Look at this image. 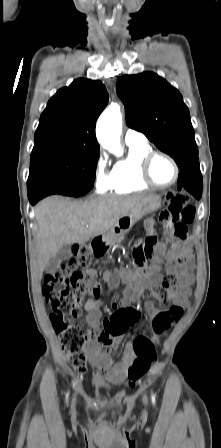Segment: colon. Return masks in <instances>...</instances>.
Instances as JSON below:
<instances>
[{
  "instance_id": "5ec220e1",
  "label": "colon",
  "mask_w": 221,
  "mask_h": 448,
  "mask_svg": "<svg viewBox=\"0 0 221 448\" xmlns=\"http://www.w3.org/2000/svg\"><path fill=\"white\" fill-rule=\"evenodd\" d=\"M195 209L188 199L182 195L167 196V206L160 214L167 234L179 240L188 236V225L194 221ZM154 237L148 236L135 245L137 263L144 265L150 262L154 271L161 273L163 284L156 290L146 287V295H154L164 310L152 322L154 337L162 335L171 325L177 323L183 309L171 304V292L177 285V277L162 266L161 260L153 253ZM182 257H178L180 261ZM91 250L88 245H76L71 256L56 269L48 272L44 278L43 296L52 308L50 316L53 329L59 335L62 346L67 353L69 362L80 373L86 372L85 347L90 340L86 329L76 323L79 317L78 307L81 301L95 297L99 289L97 284L98 271L91 265ZM129 325L140 320V314L132 307L127 311ZM110 326L106 323V329ZM145 329L146 326L144 325ZM136 358L128 369L126 385L132 388L154 366L156 352L150 341L136 338Z\"/></svg>"
}]
</instances>
